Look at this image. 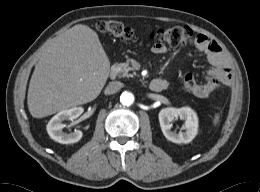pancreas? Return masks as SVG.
Instances as JSON below:
<instances>
[{
  "instance_id": "obj_1",
  "label": "pancreas",
  "mask_w": 260,
  "mask_h": 192,
  "mask_svg": "<svg viewBox=\"0 0 260 192\" xmlns=\"http://www.w3.org/2000/svg\"><path fill=\"white\" fill-rule=\"evenodd\" d=\"M116 67L119 69L118 76L120 78L132 76V74L129 73L132 68L129 66L128 62L116 64Z\"/></svg>"
}]
</instances>
